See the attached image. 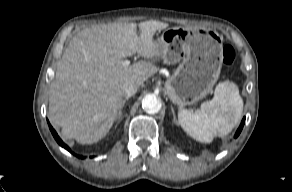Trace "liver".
Wrapping results in <instances>:
<instances>
[{
	"instance_id": "obj_1",
	"label": "liver",
	"mask_w": 292,
	"mask_h": 192,
	"mask_svg": "<svg viewBox=\"0 0 292 192\" xmlns=\"http://www.w3.org/2000/svg\"><path fill=\"white\" fill-rule=\"evenodd\" d=\"M167 27L156 20L100 24L71 39L49 91V119L65 138L93 144L107 135L122 105L124 84L140 87L158 71L153 61L161 55L153 36ZM136 53L151 61L123 66Z\"/></svg>"
}]
</instances>
